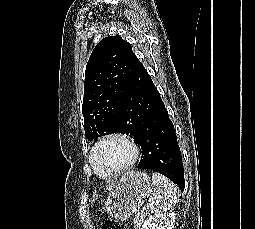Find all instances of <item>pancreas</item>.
Here are the masks:
<instances>
[{
  "mask_svg": "<svg viewBox=\"0 0 255 229\" xmlns=\"http://www.w3.org/2000/svg\"><path fill=\"white\" fill-rule=\"evenodd\" d=\"M144 218H145L144 212H138L135 215V218H134V229H141V225H142V223L144 221Z\"/></svg>",
  "mask_w": 255,
  "mask_h": 229,
  "instance_id": "cf45deb5",
  "label": "pancreas"
}]
</instances>
